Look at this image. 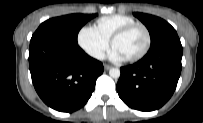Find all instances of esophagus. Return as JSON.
I'll list each match as a JSON object with an SVG mask.
<instances>
[{"label":"esophagus","mask_w":203,"mask_h":123,"mask_svg":"<svg viewBox=\"0 0 203 123\" xmlns=\"http://www.w3.org/2000/svg\"><path fill=\"white\" fill-rule=\"evenodd\" d=\"M110 68H111L110 65H107V64L104 65V69H105V70H109Z\"/></svg>","instance_id":"esophagus-1"}]
</instances>
